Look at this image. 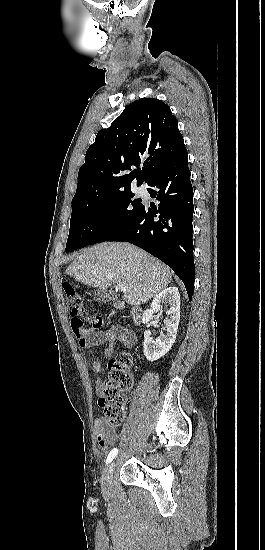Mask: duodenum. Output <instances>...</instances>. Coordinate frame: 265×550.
<instances>
[{
  "label": "duodenum",
  "mask_w": 265,
  "mask_h": 550,
  "mask_svg": "<svg viewBox=\"0 0 265 550\" xmlns=\"http://www.w3.org/2000/svg\"><path fill=\"white\" fill-rule=\"evenodd\" d=\"M116 307L118 309H122L124 306L121 302L116 303ZM140 317H141V311L138 307H132L131 308V318L135 325H139L140 323Z\"/></svg>",
  "instance_id": "duodenum-1"
}]
</instances>
